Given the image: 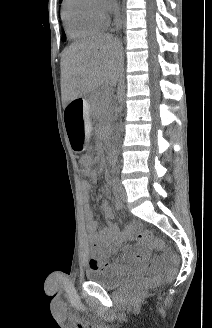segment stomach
Wrapping results in <instances>:
<instances>
[{
    "label": "stomach",
    "mask_w": 212,
    "mask_h": 328,
    "mask_svg": "<svg viewBox=\"0 0 212 328\" xmlns=\"http://www.w3.org/2000/svg\"><path fill=\"white\" fill-rule=\"evenodd\" d=\"M75 100L65 105L63 121L69 145L80 151L87 148L88 136L86 129L89 125L87 117L89 112L88 109H85L86 103L84 100H80L83 102H74Z\"/></svg>",
    "instance_id": "obj_1"
}]
</instances>
